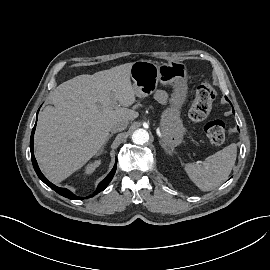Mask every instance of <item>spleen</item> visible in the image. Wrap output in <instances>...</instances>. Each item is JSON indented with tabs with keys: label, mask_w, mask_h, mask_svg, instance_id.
Instances as JSON below:
<instances>
[{
	"label": "spleen",
	"mask_w": 270,
	"mask_h": 270,
	"mask_svg": "<svg viewBox=\"0 0 270 270\" xmlns=\"http://www.w3.org/2000/svg\"><path fill=\"white\" fill-rule=\"evenodd\" d=\"M237 157V146L230 144L208 156L201 165L187 163L184 170L195 185L202 191L219 187L229 176Z\"/></svg>",
	"instance_id": "3e777b00"
}]
</instances>
